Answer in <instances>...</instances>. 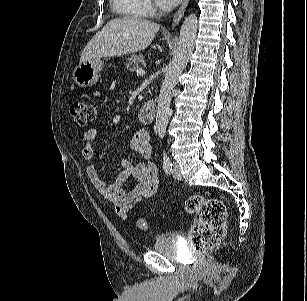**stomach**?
I'll list each match as a JSON object with an SVG mask.
<instances>
[{"instance_id": "0dacf381", "label": "stomach", "mask_w": 307, "mask_h": 301, "mask_svg": "<svg viewBox=\"0 0 307 301\" xmlns=\"http://www.w3.org/2000/svg\"><path fill=\"white\" fill-rule=\"evenodd\" d=\"M102 68L103 61L100 58L80 63L74 69L73 80L80 87H90L98 81Z\"/></svg>"}]
</instances>
